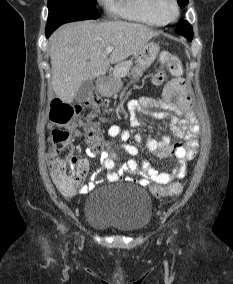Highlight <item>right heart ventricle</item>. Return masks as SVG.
I'll list each match as a JSON object with an SVG mask.
<instances>
[{"label":"right heart ventricle","instance_id":"1","mask_svg":"<svg viewBox=\"0 0 233 284\" xmlns=\"http://www.w3.org/2000/svg\"><path fill=\"white\" fill-rule=\"evenodd\" d=\"M106 8L112 14L125 20L150 26H162L153 11V0H105Z\"/></svg>","mask_w":233,"mask_h":284}]
</instances>
